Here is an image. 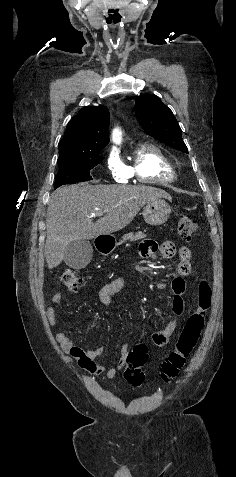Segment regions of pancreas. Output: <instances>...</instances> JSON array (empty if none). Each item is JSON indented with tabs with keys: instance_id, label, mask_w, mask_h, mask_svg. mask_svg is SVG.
Instances as JSON below:
<instances>
[{
	"instance_id": "cf45deb5",
	"label": "pancreas",
	"mask_w": 236,
	"mask_h": 477,
	"mask_svg": "<svg viewBox=\"0 0 236 477\" xmlns=\"http://www.w3.org/2000/svg\"><path fill=\"white\" fill-rule=\"evenodd\" d=\"M145 234L142 233V232H137L135 234L133 233H128V234H125L122 238V240H120V242L118 243V245L126 242V241H137V240H140V239H143L145 238Z\"/></svg>"
}]
</instances>
